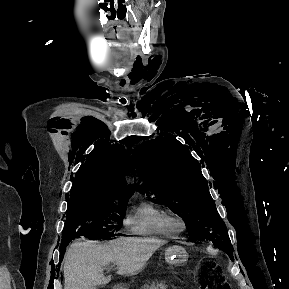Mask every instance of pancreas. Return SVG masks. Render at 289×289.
<instances>
[{
  "mask_svg": "<svg viewBox=\"0 0 289 289\" xmlns=\"http://www.w3.org/2000/svg\"><path fill=\"white\" fill-rule=\"evenodd\" d=\"M142 289H166V285L163 282H152L144 285Z\"/></svg>",
  "mask_w": 289,
  "mask_h": 289,
  "instance_id": "pancreas-1",
  "label": "pancreas"
}]
</instances>
